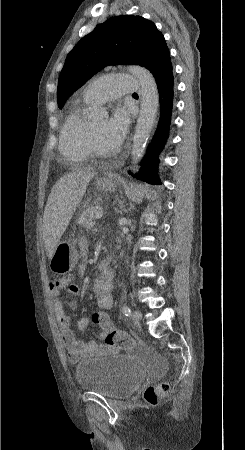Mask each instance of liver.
Wrapping results in <instances>:
<instances>
[{
  "label": "liver",
  "instance_id": "6515ba94",
  "mask_svg": "<svg viewBox=\"0 0 245 450\" xmlns=\"http://www.w3.org/2000/svg\"><path fill=\"white\" fill-rule=\"evenodd\" d=\"M95 175L94 169L82 168L60 178L51 189L43 216V239L49 259Z\"/></svg>",
  "mask_w": 245,
  "mask_h": 450
}]
</instances>
